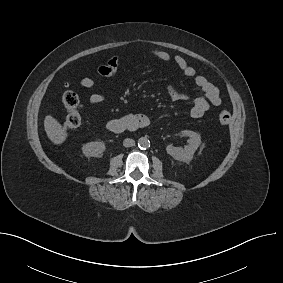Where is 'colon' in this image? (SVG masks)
Segmentation results:
<instances>
[{"label": "colon", "mask_w": 283, "mask_h": 283, "mask_svg": "<svg viewBox=\"0 0 283 283\" xmlns=\"http://www.w3.org/2000/svg\"><path fill=\"white\" fill-rule=\"evenodd\" d=\"M61 102L66 110V117L63 122V127L67 131L77 129L82 123V116L79 112V99L77 95L70 90H66L61 96ZM219 123L222 126H227L231 122V114L228 110H222L218 116Z\"/></svg>", "instance_id": "5ec220e1"}]
</instances>
